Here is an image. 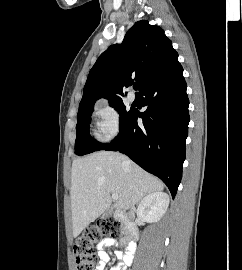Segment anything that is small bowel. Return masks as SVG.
Segmentation results:
<instances>
[{"label": "small bowel", "mask_w": 242, "mask_h": 270, "mask_svg": "<svg viewBox=\"0 0 242 270\" xmlns=\"http://www.w3.org/2000/svg\"><path fill=\"white\" fill-rule=\"evenodd\" d=\"M117 242L112 239H106L99 245V263L96 266V270H104L105 265L109 262V255L104 251L105 247L116 246ZM131 245H127L128 251H130ZM131 253V252H130ZM115 257L118 260L117 264L111 270H127V266L131 262L129 254L124 253L122 250L115 251Z\"/></svg>", "instance_id": "small-bowel-1"}]
</instances>
